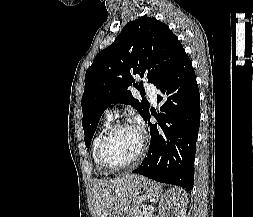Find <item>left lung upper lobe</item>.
Listing matches in <instances>:
<instances>
[{
	"instance_id": "obj_1",
	"label": "left lung upper lobe",
	"mask_w": 253,
	"mask_h": 217,
	"mask_svg": "<svg viewBox=\"0 0 253 217\" xmlns=\"http://www.w3.org/2000/svg\"><path fill=\"white\" fill-rule=\"evenodd\" d=\"M184 52L168 26L154 17L129 22L86 71L82 97L86 146L90 145L102 113L112 103L129 104L144 118L150 104L146 99L138 101L132 96L129 88H139L133 76L147 77L156 86Z\"/></svg>"
}]
</instances>
